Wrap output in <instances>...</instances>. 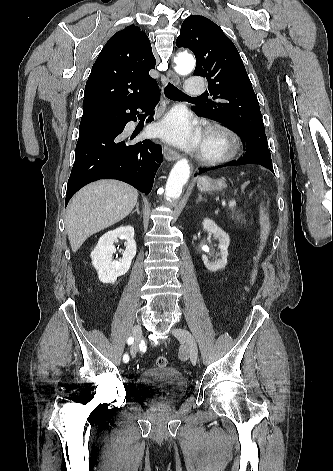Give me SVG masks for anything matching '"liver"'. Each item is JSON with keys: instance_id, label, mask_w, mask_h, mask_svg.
Returning a JSON list of instances; mask_svg holds the SVG:
<instances>
[{"instance_id": "6515ba94", "label": "liver", "mask_w": 333, "mask_h": 471, "mask_svg": "<svg viewBox=\"0 0 333 471\" xmlns=\"http://www.w3.org/2000/svg\"><path fill=\"white\" fill-rule=\"evenodd\" d=\"M138 191L121 181L99 180L83 187L70 201L65 226L77 252L91 235L124 219L137 203Z\"/></svg>"}]
</instances>
